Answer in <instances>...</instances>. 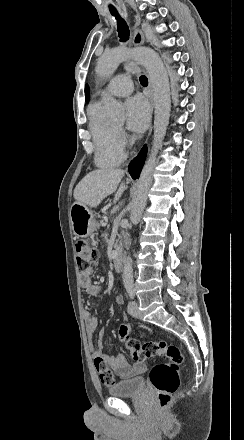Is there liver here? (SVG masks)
<instances>
[{"mask_svg":"<svg viewBox=\"0 0 244 440\" xmlns=\"http://www.w3.org/2000/svg\"><path fill=\"white\" fill-rule=\"evenodd\" d=\"M124 176V170H118V168H100V170H94L89 172L79 184H77L73 196L76 202H81L84 206H90V208H96L101 204L104 198L116 192L122 178ZM124 184H120L113 204L118 202L124 192Z\"/></svg>","mask_w":244,"mask_h":440,"instance_id":"liver-1","label":"liver"}]
</instances>
